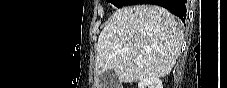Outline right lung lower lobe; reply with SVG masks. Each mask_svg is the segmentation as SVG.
Returning a JSON list of instances; mask_svg holds the SVG:
<instances>
[{
	"mask_svg": "<svg viewBox=\"0 0 227 88\" xmlns=\"http://www.w3.org/2000/svg\"><path fill=\"white\" fill-rule=\"evenodd\" d=\"M138 3L155 4L168 9L172 14L178 16L183 22L186 19V0H138Z\"/></svg>",
	"mask_w": 227,
	"mask_h": 88,
	"instance_id": "1",
	"label": "right lung lower lobe"
}]
</instances>
